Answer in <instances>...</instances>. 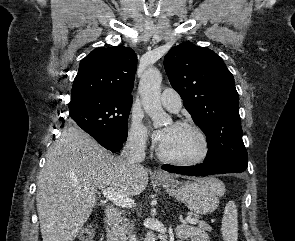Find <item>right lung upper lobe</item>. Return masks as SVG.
Returning <instances> with one entry per match:
<instances>
[{"mask_svg": "<svg viewBox=\"0 0 295 241\" xmlns=\"http://www.w3.org/2000/svg\"><path fill=\"white\" fill-rule=\"evenodd\" d=\"M136 67L137 56L131 48L94 49L80 62L70 103L87 98L132 101Z\"/></svg>", "mask_w": 295, "mask_h": 241, "instance_id": "1", "label": "right lung upper lobe"}]
</instances>
